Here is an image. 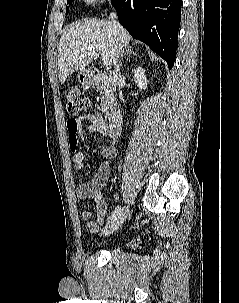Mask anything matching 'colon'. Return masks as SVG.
Returning <instances> with one entry per match:
<instances>
[{"instance_id":"1","label":"colon","mask_w":239,"mask_h":303,"mask_svg":"<svg viewBox=\"0 0 239 303\" xmlns=\"http://www.w3.org/2000/svg\"><path fill=\"white\" fill-rule=\"evenodd\" d=\"M66 104H67V111L72 116L85 114L88 112L90 108V103L88 98L78 88H71L67 91ZM69 126H70V131L74 132L76 129V124L74 122H70Z\"/></svg>"}]
</instances>
